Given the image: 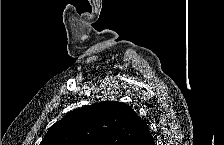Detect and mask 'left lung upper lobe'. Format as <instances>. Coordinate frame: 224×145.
Returning a JSON list of instances; mask_svg holds the SVG:
<instances>
[{"label":"left lung upper lobe","instance_id":"left-lung-upper-lobe-1","mask_svg":"<svg viewBox=\"0 0 224 145\" xmlns=\"http://www.w3.org/2000/svg\"><path fill=\"white\" fill-rule=\"evenodd\" d=\"M144 125L132 107L103 101L64 116L40 145H133Z\"/></svg>","mask_w":224,"mask_h":145}]
</instances>
